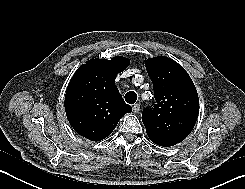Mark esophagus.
<instances>
[{
    "instance_id": "1",
    "label": "esophagus",
    "mask_w": 245,
    "mask_h": 189,
    "mask_svg": "<svg viewBox=\"0 0 245 189\" xmlns=\"http://www.w3.org/2000/svg\"><path fill=\"white\" fill-rule=\"evenodd\" d=\"M132 108H133L134 113H138L140 111V105L139 104H134Z\"/></svg>"
}]
</instances>
